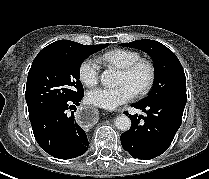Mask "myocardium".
I'll return each mask as SVG.
<instances>
[{
	"label": "myocardium",
	"mask_w": 209,
	"mask_h": 179,
	"mask_svg": "<svg viewBox=\"0 0 209 179\" xmlns=\"http://www.w3.org/2000/svg\"><path fill=\"white\" fill-rule=\"evenodd\" d=\"M145 68L147 71L146 82L136 91L139 96L146 95L153 88L156 79V69L154 64L147 59L140 58L128 66L121 69V72L127 76L134 75L139 69Z\"/></svg>",
	"instance_id": "myocardium-1"
}]
</instances>
